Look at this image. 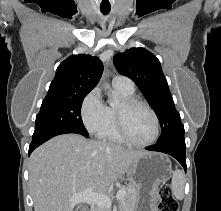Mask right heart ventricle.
Returning <instances> with one entry per match:
<instances>
[{
	"label": "right heart ventricle",
	"mask_w": 221,
	"mask_h": 211,
	"mask_svg": "<svg viewBox=\"0 0 221 211\" xmlns=\"http://www.w3.org/2000/svg\"><path fill=\"white\" fill-rule=\"evenodd\" d=\"M120 95L124 98H133L134 91L128 92L122 89H117ZM109 115H110V123L108 128L104 131V133L100 136L101 138L115 143H124L125 141L120 136L117 126V119H116V109L112 107H108Z\"/></svg>",
	"instance_id": "obj_1"
}]
</instances>
